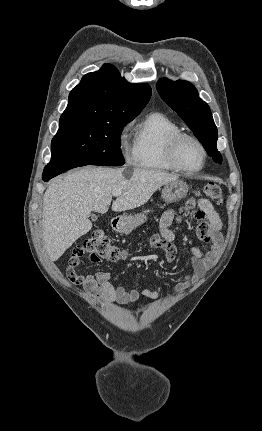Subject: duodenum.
Returning <instances> with one entry per match:
<instances>
[{
    "label": "duodenum",
    "mask_w": 262,
    "mask_h": 431,
    "mask_svg": "<svg viewBox=\"0 0 262 431\" xmlns=\"http://www.w3.org/2000/svg\"><path fill=\"white\" fill-rule=\"evenodd\" d=\"M112 223L114 224V226L119 227L121 225V220L118 217H113Z\"/></svg>",
    "instance_id": "1"
}]
</instances>
